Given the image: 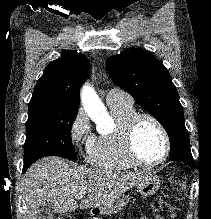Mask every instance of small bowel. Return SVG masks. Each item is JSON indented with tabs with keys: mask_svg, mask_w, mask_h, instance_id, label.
Masks as SVG:
<instances>
[{
	"mask_svg": "<svg viewBox=\"0 0 211 219\" xmlns=\"http://www.w3.org/2000/svg\"><path fill=\"white\" fill-rule=\"evenodd\" d=\"M142 219H148V218H142ZM153 219H164L162 216H160V215H158V214H156V215H154V217H153ZM170 219H173V218H170Z\"/></svg>",
	"mask_w": 211,
	"mask_h": 219,
	"instance_id": "obj_1",
	"label": "small bowel"
}]
</instances>
